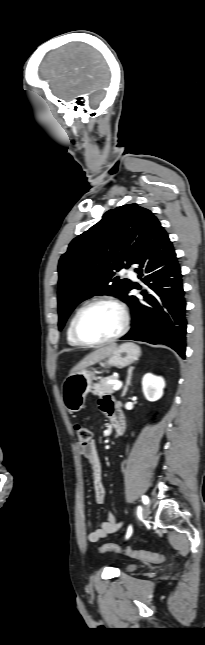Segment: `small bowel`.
Here are the masks:
<instances>
[{"mask_svg": "<svg viewBox=\"0 0 205 645\" xmlns=\"http://www.w3.org/2000/svg\"><path fill=\"white\" fill-rule=\"evenodd\" d=\"M101 411L112 421L115 412L120 411L116 406L114 400L109 397H103L99 401ZM77 452L83 456L91 468L92 486L94 492L95 502L103 504L105 500V488L102 480V465L94 442L84 446L78 444ZM123 525V521L119 520L112 513L108 512L106 519L100 526L87 535V539L91 543H96L99 540L106 538L108 535L116 533Z\"/></svg>", "mask_w": 205, "mask_h": 645, "instance_id": "obj_1", "label": "small bowel"}]
</instances>
